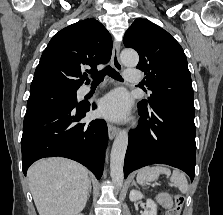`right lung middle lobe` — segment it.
<instances>
[{"instance_id": "right-lung-middle-lobe-1", "label": "right lung middle lobe", "mask_w": 223, "mask_h": 215, "mask_svg": "<svg viewBox=\"0 0 223 215\" xmlns=\"http://www.w3.org/2000/svg\"><path fill=\"white\" fill-rule=\"evenodd\" d=\"M76 105V91H44L30 93L26 114L55 107Z\"/></svg>"}]
</instances>
